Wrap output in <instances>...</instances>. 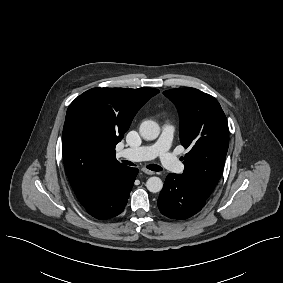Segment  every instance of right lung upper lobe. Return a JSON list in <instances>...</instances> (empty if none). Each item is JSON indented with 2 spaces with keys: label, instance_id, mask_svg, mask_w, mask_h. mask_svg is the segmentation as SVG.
<instances>
[{
  "label": "right lung upper lobe",
  "instance_id": "cb5924a9",
  "mask_svg": "<svg viewBox=\"0 0 283 283\" xmlns=\"http://www.w3.org/2000/svg\"><path fill=\"white\" fill-rule=\"evenodd\" d=\"M159 92L152 88H93L77 97L66 113L62 151L69 182L82 205L94 196L99 180L124 166L116 160L115 146L138 110ZM82 107L93 119L90 129L78 125L74 110Z\"/></svg>",
  "mask_w": 283,
  "mask_h": 283
}]
</instances>
